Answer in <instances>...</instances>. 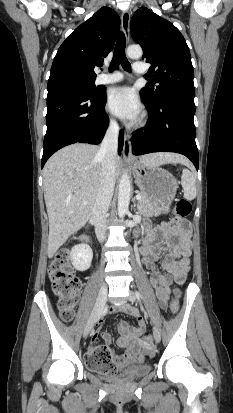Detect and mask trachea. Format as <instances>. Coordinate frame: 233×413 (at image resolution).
I'll list each match as a JSON object with an SVG mask.
<instances>
[{"label": "trachea", "mask_w": 233, "mask_h": 413, "mask_svg": "<svg viewBox=\"0 0 233 413\" xmlns=\"http://www.w3.org/2000/svg\"><path fill=\"white\" fill-rule=\"evenodd\" d=\"M126 39L124 33H120L113 54V59L110 64V71L118 68L121 64L125 71L131 72V65L125 55Z\"/></svg>", "instance_id": "obj_1"}]
</instances>
